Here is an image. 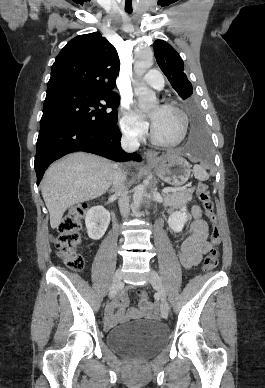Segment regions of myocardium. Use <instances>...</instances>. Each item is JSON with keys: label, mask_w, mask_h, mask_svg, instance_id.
I'll return each mask as SVG.
<instances>
[{"label": "myocardium", "mask_w": 265, "mask_h": 388, "mask_svg": "<svg viewBox=\"0 0 265 388\" xmlns=\"http://www.w3.org/2000/svg\"><path fill=\"white\" fill-rule=\"evenodd\" d=\"M163 107L179 116L180 123H181L179 133L175 138L165 139L158 134L155 124H153L151 128V135L153 140L159 145L164 147H174L179 145L187 135L188 117H187V114L182 109H180L179 107L173 104L166 103Z\"/></svg>", "instance_id": "obj_1"}]
</instances>
